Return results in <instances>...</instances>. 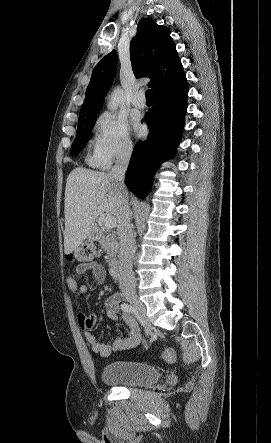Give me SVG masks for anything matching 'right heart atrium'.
<instances>
[{
  "label": "right heart atrium",
  "instance_id": "d8ad5b80",
  "mask_svg": "<svg viewBox=\"0 0 271 443\" xmlns=\"http://www.w3.org/2000/svg\"><path fill=\"white\" fill-rule=\"evenodd\" d=\"M92 152L98 165L129 155L134 148L130 127L126 120L110 111L101 112L93 123Z\"/></svg>",
  "mask_w": 271,
  "mask_h": 443
}]
</instances>
